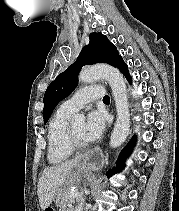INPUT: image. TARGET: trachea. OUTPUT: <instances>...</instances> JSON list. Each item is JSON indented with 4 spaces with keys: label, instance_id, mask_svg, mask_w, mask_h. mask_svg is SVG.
I'll use <instances>...</instances> for the list:
<instances>
[{
    "label": "trachea",
    "instance_id": "trachea-1",
    "mask_svg": "<svg viewBox=\"0 0 179 211\" xmlns=\"http://www.w3.org/2000/svg\"><path fill=\"white\" fill-rule=\"evenodd\" d=\"M103 101H110V97L108 95H106L104 98H103Z\"/></svg>",
    "mask_w": 179,
    "mask_h": 211
}]
</instances>
